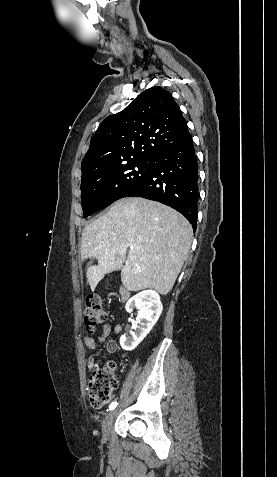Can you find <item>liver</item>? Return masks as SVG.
Returning a JSON list of instances; mask_svg holds the SVG:
<instances>
[{
	"label": "liver",
	"instance_id": "liver-1",
	"mask_svg": "<svg viewBox=\"0 0 277 477\" xmlns=\"http://www.w3.org/2000/svg\"><path fill=\"white\" fill-rule=\"evenodd\" d=\"M192 238L188 220L171 207L140 197L118 200L82 232V260L98 261L87 268L91 290L105 274L121 269L127 290L150 288L166 295L188 256Z\"/></svg>",
	"mask_w": 277,
	"mask_h": 477
}]
</instances>
